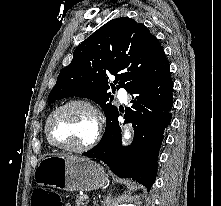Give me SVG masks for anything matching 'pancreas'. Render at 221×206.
<instances>
[{
	"mask_svg": "<svg viewBox=\"0 0 221 206\" xmlns=\"http://www.w3.org/2000/svg\"><path fill=\"white\" fill-rule=\"evenodd\" d=\"M75 203L76 206H87V202L84 199V196H77Z\"/></svg>",
	"mask_w": 221,
	"mask_h": 206,
	"instance_id": "obj_1",
	"label": "pancreas"
}]
</instances>
